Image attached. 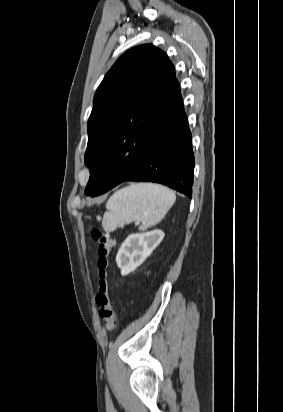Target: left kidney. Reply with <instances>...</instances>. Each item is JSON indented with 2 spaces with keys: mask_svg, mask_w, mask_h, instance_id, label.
Instances as JSON below:
<instances>
[{
  "mask_svg": "<svg viewBox=\"0 0 283 412\" xmlns=\"http://www.w3.org/2000/svg\"><path fill=\"white\" fill-rule=\"evenodd\" d=\"M163 238L164 232L161 230L129 235L116 255V263L121 274L126 276L139 267Z\"/></svg>",
  "mask_w": 283,
  "mask_h": 412,
  "instance_id": "1",
  "label": "left kidney"
}]
</instances>
